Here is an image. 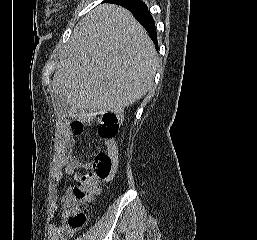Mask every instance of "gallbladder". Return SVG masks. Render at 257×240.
Segmentation results:
<instances>
[{
	"mask_svg": "<svg viewBox=\"0 0 257 240\" xmlns=\"http://www.w3.org/2000/svg\"><path fill=\"white\" fill-rule=\"evenodd\" d=\"M55 109L61 116H67L70 111V105L62 97L55 96Z\"/></svg>",
	"mask_w": 257,
	"mask_h": 240,
	"instance_id": "obj_1",
	"label": "gallbladder"
}]
</instances>
